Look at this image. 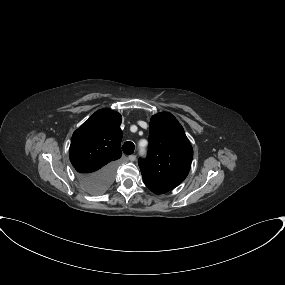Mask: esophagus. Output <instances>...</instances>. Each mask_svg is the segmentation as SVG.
I'll return each instance as SVG.
<instances>
[{"label":"esophagus","instance_id":"1","mask_svg":"<svg viewBox=\"0 0 285 285\" xmlns=\"http://www.w3.org/2000/svg\"><path fill=\"white\" fill-rule=\"evenodd\" d=\"M128 160L131 161V162H133V161L136 160V156H135V155H130V156L128 157Z\"/></svg>","mask_w":285,"mask_h":285}]
</instances>
